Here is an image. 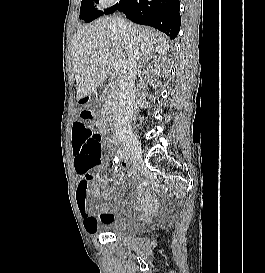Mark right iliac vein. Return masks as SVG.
Masks as SVG:
<instances>
[{"label":"right iliac vein","mask_w":265,"mask_h":273,"mask_svg":"<svg viewBox=\"0 0 265 273\" xmlns=\"http://www.w3.org/2000/svg\"><path fill=\"white\" fill-rule=\"evenodd\" d=\"M124 142L128 146V148L131 150L133 157L137 163L142 162V151L140 147V143L137 139V137L133 134H129L126 136Z\"/></svg>","instance_id":"63e3f726"}]
</instances>
